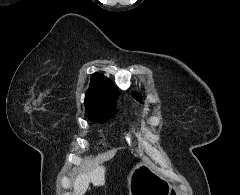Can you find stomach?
I'll list each match as a JSON object with an SVG mask.
<instances>
[{"label": "stomach", "mask_w": 240, "mask_h": 195, "mask_svg": "<svg viewBox=\"0 0 240 195\" xmlns=\"http://www.w3.org/2000/svg\"><path fill=\"white\" fill-rule=\"evenodd\" d=\"M129 195H169L166 179L147 163H137L128 179Z\"/></svg>", "instance_id": "stomach-1"}]
</instances>
